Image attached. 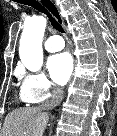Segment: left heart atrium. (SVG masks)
<instances>
[{
	"instance_id": "obj_1",
	"label": "left heart atrium",
	"mask_w": 117,
	"mask_h": 136,
	"mask_svg": "<svg viewBox=\"0 0 117 136\" xmlns=\"http://www.w3.org/2000/svg\"><path fill=\"white\" fill-rule=\"evenodd\" d=\"M73 61L69 53L62 52L53 55L48 60V69L53 80L59 84H65L72 73Z\"/></svg>"
}]
</instances>
